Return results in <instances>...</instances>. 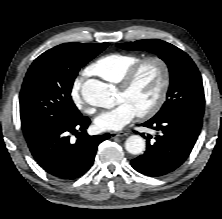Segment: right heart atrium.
Segmentation results:
<instances>
[{"label":"right heart atrium","instance_id":"obj_1","mask_svg":"<svg viewBox=\"0 0 222 219\" xmlns=\"http://www.w3.org/2000/svg\"><path fill=\"white\" fill-rule=\"evenodd\" d=\"M71 96L75 105L83 112L87 114H91L93 112V109L87 106L86 99L81 93V80L79 78H76L73 83Z\"/></svg>","mask_w":222,"mask_h":219}]
</instances>
